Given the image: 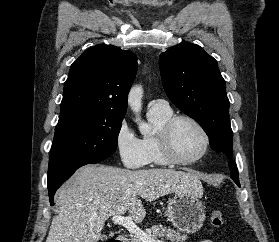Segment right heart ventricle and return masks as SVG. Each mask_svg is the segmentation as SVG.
I'll use <instances>...</instances> for the list:
<instances>
[{
  "instance_id": "obj_1",
  "label": "right heart ventricle",
  "mask_w": 279,
  "mask_h": 242,
  "mask_svg": "<svg viewBox=\"0 0 279 242\" xmlns=\"http://www.w3.org/2000/svg\"><path fill=\"white\" fill-rule=\"evenodd\" d=\"M173 116L171 108H149L148 119L152 125L153 132L149 135H145L142 138V144L147 153L148 162L154 163L159 166H167L169 163L164 158L159 142L158 134L163 125Z\"/></svg>"
}]
</instances>
